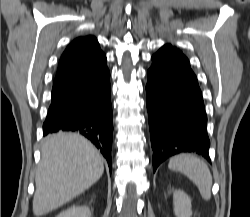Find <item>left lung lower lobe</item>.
<instances>
[{
    "instance_id": "left-lung-lower-lobe-1",
    "label": "left lung lower lobe",
    "mask_w": 250,
    "mask_h": 217,
    "mask_svg": "<svg viewBox=\"0 0 250 217\" xmlns=\"http://www.w3.org/2000/svg\"><path fill=\"white\" fill-rule=\"evenodd\" d=\"M152 61L147 72L146 104L154 171L164 160L182 152H196L210 162L207 116L189 60L166 44Z\"/></svg>"
}]
</instances>
